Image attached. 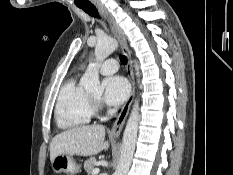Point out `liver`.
Instances as JSON below:
<instances>
[{
	"instance_id": "6515ba94",
	"label": "liver",
	"mask_w": 233,
	"mask_h": 175,
	"mask_svg": "<svg viewBox=\"0 0 233 175\" xmlns=\"http://www.w3.org/2000/svg\"><path fill=\"white\" fill-rule=\"evenodd\" d=\"M102 125L78 126L56 135L50 144L51 162L58 155L92 156L109 148Z\"/></svg>"
}]
</instances>
